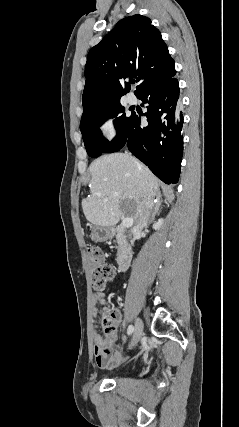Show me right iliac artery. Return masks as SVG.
<instances>
[{
    "mask_svg": "<svg viewBox=\"0 0 239 427\" xmlns=\"http://www.w3.org/2000/svg\"><path fill=\"white\" fill-rule=\"evenodd\" d=\"M133 331H134V327H133V325H130L127 329L128 335L132 334Z\"/></svg>",
    "mask_w": 239,
    "mask_h": 427,
    "instance_id": "obj_1",
    "label": "right iliac artery"
}]
</instances>
